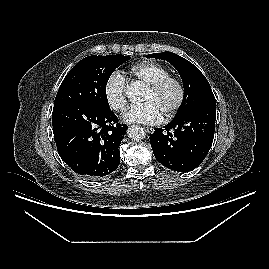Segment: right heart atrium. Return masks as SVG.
Segmentation results:
<instances>
[{"label":"right heart atrium","mask_w":269,"mask_h":269,"mask_svg":"<svg viewBox=\"0 0 269 269\" xmlns=\"http://www.w3.org/2000/svg\"><path fill=\"white\" fill-rule=\"evenodd\" d=\"M126 79L119 71L111 72L103 87L104 97L109 108L115 112L122 111L126 106Z\"/></svg>","instance_id":"obj_1"}]
</instances>
